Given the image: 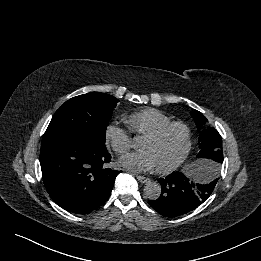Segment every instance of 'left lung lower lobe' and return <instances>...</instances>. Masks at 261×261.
I'll use <instances>...</instances> for the list:
<instances>
[{
  "mask_svg": "<svg viewBox=\"0 0 261 261\" xmlns=\"http://www.w3.org/2000/svg\"><path fill=\"white\" fill-rule=\"evenodd\" d=\"M201 166L207 179L199 182L190 180L182 172H173L159 179L162 193L158 199L148 201L150 206L165 217H176L205 202L218 181L219 168L206 163Z\"/></svg>",
  "mask_w": 261,
  "mask_h": 261,
  "instance_id": "obj_1",
  "label": "left lung lower lobe"
}]
</instances>
